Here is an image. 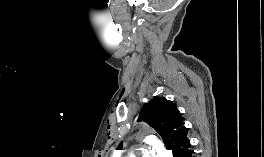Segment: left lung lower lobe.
<instances>
[{
	"label": "left lung lower lobe",
	"instance_id": "0a47b994",
	"mask_svg": "<svg viewBox=\"0 0 264 157\" xmlns=\"http://www.w3.org/2000/svg\"><path fill=\"white\" fill-rule=\"evenodd\" d=\"M193 150L191 149V144L189 139L180 143L178 147L173 150V157H194Z\"/></svg>",
	"mask_w": 264,
	"mask_h": 157
}]
</instances>
